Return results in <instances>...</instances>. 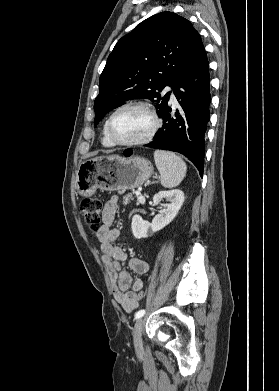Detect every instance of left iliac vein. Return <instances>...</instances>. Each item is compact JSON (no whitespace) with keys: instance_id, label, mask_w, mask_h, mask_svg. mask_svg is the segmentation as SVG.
Masks as SVG:
<instances>
[{"instance_id":"4c4485c4","label":"left iliac vein","mask_w":279,"mask_h":391,"mask_svg":"<svg viewBox=\"0 0 279 391\" xmlns=\"http://www.w3.org/2000/svg\"><path fill=\"white\" fill-rule=\"evenodd\" d=\"M144 320L143 318L137 319L133 328V343L136 349L142 348V329Z\"/></svg>"}]
</instances>
